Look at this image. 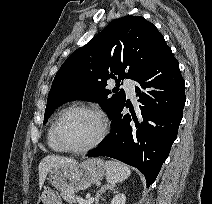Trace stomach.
I'll return each instance as SVG.
<instances>
[{"instance_id":"obj_1","label":"stomach","mask_w":212,"mask_h":204,"mask_svg":"<svg viewBox=\"0 0 212 204\" xmlns=\"http://www.w3.org/2000/svg\"><path fill=\"white\" fill-rule=\"evenodd\" d=\"M106 165L100 158H92L78 163L76 161L54 166L49 172L47 181L57 190H85L103 179ZM37 204H61L54 190L44 187Z\"/></svg>"}]
</instances>
